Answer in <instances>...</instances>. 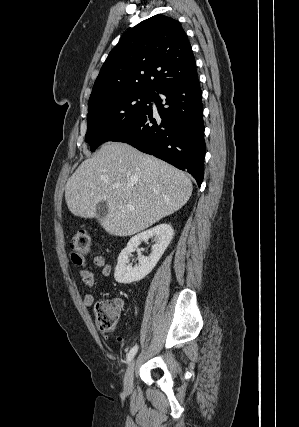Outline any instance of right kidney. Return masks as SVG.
Here are the masks:
<instances>
[{"label":"right kidney","mask_w":299,"mask_h":427,"mask_svg":"<svg viewBox=\"0 0 299 427\" xmlns=\"http://www.w3.org/2000/svg\"><path fill=\"white\" fill-rule=\"evenodd\" d=\"M174 231L169 224L157 225L145 232L132 237L127 246L121 251L115 268L114 278L118 283L130 284L140 281L147 276L156 266L164 251L170 244ZM154 237L155 244L149 256H138V265L132 267L129 257L132 252L143 242Z\"/></svg>","instance_id":"1"}]
</instances>
